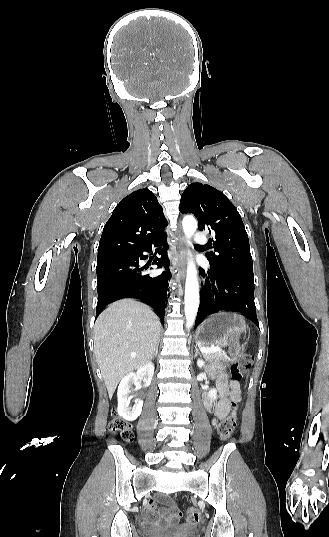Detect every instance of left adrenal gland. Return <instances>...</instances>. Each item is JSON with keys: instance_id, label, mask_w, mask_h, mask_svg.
I'll list each match as a JSON object with an SVG mask.
<instances>
[{"instance_id": "a2214340", "label": "left adrenal gland", "mask_w": 329, "mask_h": 537, "mask_svg": "<svg viewBox=\"0 0 329 537\" xmlns=\"http://www.w3.org/2000/svg\"><path fill=\"white\" fill-rule=\"evenodd\" d=\"M199 353H200V352H199V349H198V347H197V345H196V346H195V356H197Z\"/></svg>"}]
</instances>
